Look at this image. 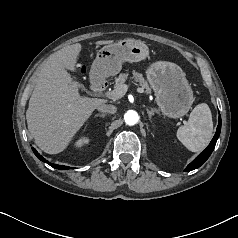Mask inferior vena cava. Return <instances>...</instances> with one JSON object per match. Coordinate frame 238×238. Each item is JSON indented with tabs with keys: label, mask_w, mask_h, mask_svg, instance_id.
<instances>
[{
	"label": "inferior vena cava",
	"mask_w": 238,
	"mask_h": 238,
	"mask_svg": "<svg viewBox=\"0 0 238 238\" xmlns=\"http://www.w3.org/2000/svg\"><path fill=\"white\" fill-rule=\"evenodd\" d=\"M98 111L102 113H108V114H114L116 113L117 108L114 105L111 104H102L98 106Z\"/></svg>",
	"instance_id": "obj_1"
}]
</instances>
